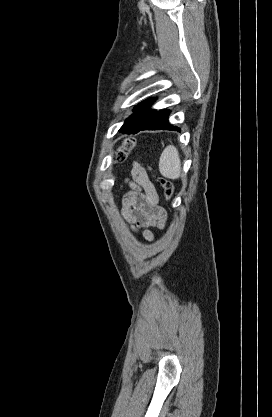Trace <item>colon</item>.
Masks as SVG:
<instances>
[{"mask_svg":"<svg viewBox=\"0 0 272 417\" xmlns=\"http://www.w3.org/2000/svg\"><path fill=\"white\" fill-rule=\"evenodd\" d=\"M133 146H134V142H133L132 139L125 140L122 143V145L117 149L116 159L117 160L125 159L128 156L131 149L133 148ZM159 183L161 184V186L164 189V193H165V196H166L167 200H169L171 198L172 194H173V191H174L173 184L166 179H159Z\"/></svg>","mask_w":272,"mask_h":417,"instance_id":"colon-1","label":"colon"}]
</instances>
